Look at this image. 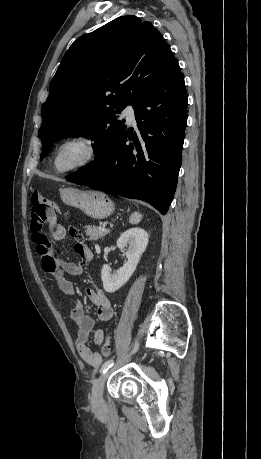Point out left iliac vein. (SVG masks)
Returning <instances> with one entry per match:
<instances>
[{
  "label": "left iliac vein",
  "mask_w": 261,
  "mask_h": 459,
  "mask_svg": "<svg viewBox=\"0 0 261 459\" xmlns=\"http://www.w3.org/2000/svg\"><path fill=\"white\" fill-rule=\"evenodd\" d=\"M108 375L109 372L103 373L93 386L91 403L95 410H101L104 407L103 391Z\"/></svg>",
  "instance_id": "left-iliac-vein-1"
}]
</instances>
